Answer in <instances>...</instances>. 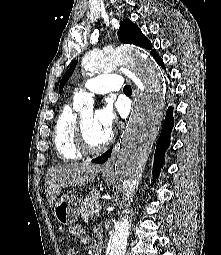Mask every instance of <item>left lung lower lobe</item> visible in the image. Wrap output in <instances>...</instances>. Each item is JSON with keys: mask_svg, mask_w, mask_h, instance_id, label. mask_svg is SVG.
Listing matches in <instances>:
<instances>
[{"mask_svg": "<svg viewBox=\"0 0 221 255\" xmlns=\"http://www.w3.org/2000/svg\"><path fill=\"white\" fill-rule=\"evenodd\" d=\"M152 56L159 65L164 67L163 60L159 57V55L156 52L152 53ZM172 110H173L172 107H169L167 110L165 122H164L162 131L158 140V144L156 147L155 161H154V168H153L154 177H157L159 173L161 165L164 162V153L170 144V132L173 128ZM110 155H111V150H108L100 157L93 159L92 162L104 163L105 161H107Z\"/></svg>", "mask_w": 221, "mask_h": 255, "instance_id": "0a47b994", "label": "left lung lower lobe"}]
</instances>
